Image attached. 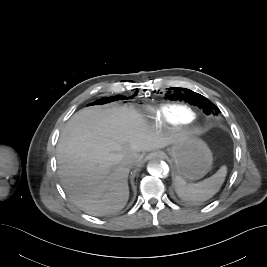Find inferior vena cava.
<instances>
[{"label": "inferior vena cava", "instance_id": "1", "mask_svg": "<svg viewBox=\"0 0 267 267\" xmlns=\"http://www.w3.org/2000/svg\"><path fill=\"white\" fill-rule=\"evenodd\" d=\"M124 163L127 167L131 168L135 164V159L132 156H126Z\"/></svg>", "mask_w": 267, "mask_h": 267}]
</instances>
